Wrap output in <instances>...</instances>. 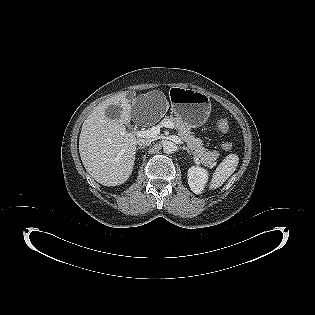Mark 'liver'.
Returning a JSON list of instances; mask_svg holds the SVG:
<instances>
[{
  "label": "liver",
  "mask_w": 315,
  "mask_h": 315,
  "mask_svg": "<svg viewBox=\"0 0 315 315\" xmlns=\"http://www.w3.org/2000/svg\"><path fill=\"white\" fill-rule=\"evenodd\" d=\"M110 105L121 108L118 120L105 115ZM131 111L130 101L122 93L96 106L82 125L80 157L86 171L102 185H121L132 174L138 139L125 128Z\"/></svg>",
  "instance_id": "liver-1"
}]
</instances>
